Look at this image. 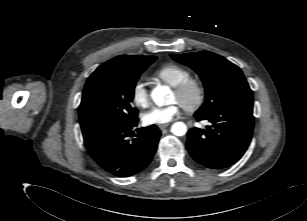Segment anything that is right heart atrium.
Here are the masks:
<instances>
[{
	"label": "right heart atrium",
	"mask_w": 307,
	"mask_h": 221,
	"mask_svg": "<svg viewBox=\"0 0 307 221\" xmlns=\"http://www.w3.org/2000/svg\"><path fill=\"white\" fill-rule=\"evenodd\" d=\"M131 100L137 107L145 108L150 103V94L145 85L141 80H137L131 89Z\"/></svg>",
	"instance_id": "right-heart-atrium-1"
}]
</instances>
